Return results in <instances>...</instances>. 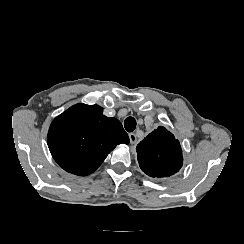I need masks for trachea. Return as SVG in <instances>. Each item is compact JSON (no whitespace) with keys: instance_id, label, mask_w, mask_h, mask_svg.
<instances>
[{"instance_id":"1","label":"trachea","mask_w":244,"mask_h":244,"mask_svg":"<svg viewBox=\"0 0 244 244\" xmlns=\"http://www.w3.org/2000/svg\"><path fill=\"white\" fill-rule=\"evenodd\" d=\"M136 125H137V122L132 116L127 117L124 121V127H125L126 131H128V132L134 131L136 128Z\"/></svg>"}]
</instances>
